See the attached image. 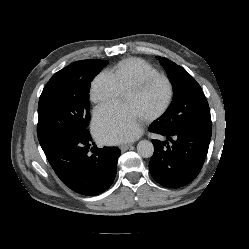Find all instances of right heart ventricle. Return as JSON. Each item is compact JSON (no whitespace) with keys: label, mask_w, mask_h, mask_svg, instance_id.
Returning <instances> with one entry per match:
<instances>
[{"label":"right heart ventricle","mask_w":249,"mask_h":249,"mask_svg":"<svg viewBox=\"0 0 249 249\" xmlns=\"http://www.w3.org/2000/svg\"><path fill=\"white\" fill-rule=\"evenodd\" d=\"M120 90L125 92L131 85L141 79L158 75L159 71L150 63L140 58H127L120 61L110 72Z\"/></svg>","instance_id":"1"}]
</instances>
